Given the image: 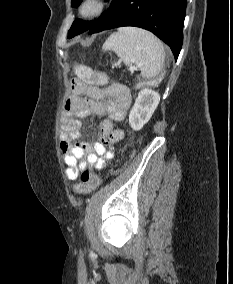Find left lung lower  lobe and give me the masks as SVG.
I'll return each mask as SVG.
<instances>
[{
    "instance_id": "0a47b994",
    "label": "left lung lower lobe",
    "mask_w": 233,
    "mask_h": 284,
    "mask_svg": "<svg viewBox=\"0 0 233 284\" xmlns=\"http://www.w3.org/2000/svg\"><path fill=\"white\" fill-rule=\"evenodd\" d=\"M186 4V0H112L88 34L122 26L140 27L163 40L177 59L183 43Z\"/></svg>"
}]
</instances>
